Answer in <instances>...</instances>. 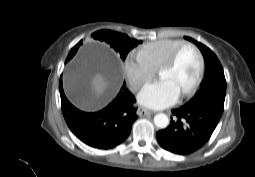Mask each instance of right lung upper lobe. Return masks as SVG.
Returning a JSON list of instances; mask_svg holds the SVG:
<instances>
[{"instance_id": "1", "label": "right lung upper lobe", "mask_w": 255, "mask_h": 177, "mask_svg": "<svg viewBox=\"0 0 255 177\" xmlns=\"http://www.w3.org/2000/svg\"><path fill=\"white\" fill-rule=\"evenodd\" d=\"M77 47H78V44L70 51V53H69V55H68V57H67V59H66V62H67L68 60H70V59L74 56V53H75Z\"/></svg>"}]
</instances>
